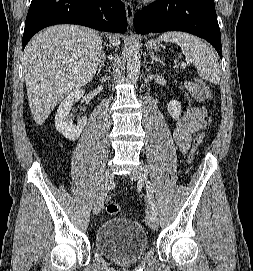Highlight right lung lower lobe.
Listing matches in <instances>:
<instances>
[{
  "label": "right lung lower lobe",
  "instance_id": "1",
  "mask_svg": "<svg viewBox=\"0 0 253 271\" xmlns=\"http://www.w3.org/2000/svg\"><path fill=\"white\" fill-rule=\"evenodd\" d=\"M55 24H80L124 33L125 6L120 0H32L25 21L23 49L38 31Z\"/></svg>",
  "mask_w": 253,
  "mask_h": 271
}]
</instances>
